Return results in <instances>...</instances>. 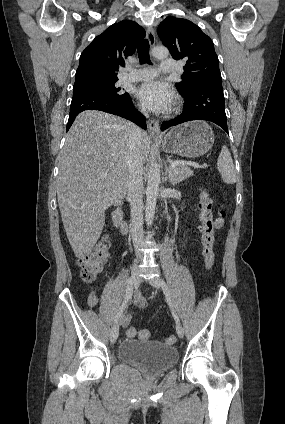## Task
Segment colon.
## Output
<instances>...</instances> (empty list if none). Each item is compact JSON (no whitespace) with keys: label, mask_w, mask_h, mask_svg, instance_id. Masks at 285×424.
<instances>
[{"label":"colon","mask_w":285,"mask_h":424,"mask_svg":"<svg viewBox=\"0 0 285 424\" xmlns=\"http://www.w3.org/2000/svg\"><path fill=\"white\" fill-rule=\"evenodd\" d=\"M199 207L201 210L202 219V245H203V259L207 270H211L214 265V251L213 245L215 240V233L222 227L224 210H220L219 217L215 220L211 217V200L206 190H203L200 195ZM111 243L108 236H102L95 247L87 254L78 259L80 267V276L83 281L91 282L95 280L98 274L102 271L103 265L109 256ZM138 335L141 339H148L150 333L147 330L137 331L135 328L127 330V337L134 338ZM167 343H174L175 337L169 336L166 339Z\"/></svg>","instance_id":"obj_1"}]
</instances>
